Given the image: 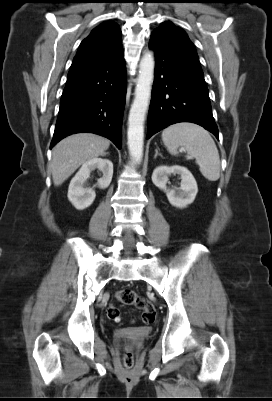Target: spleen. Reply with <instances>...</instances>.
Returning <instances> with one entry per match:
<instances>
[{"instance_id":"1","label":"spleen","mask_w":272,"mask_h":401,"mask_svg":"<svg viewBox=\"0 0 272 401\" xmlns=\"http://www.w3.org/2000/svg\"><path fill=\"white\" fill-rule=\"evenodd\" d=\"M162 141L171 154L178 148L196 159L201 174L209 181L220 178V157L209 132L192 123H177L163 130Z\"/></svg>"}]
</instances>
